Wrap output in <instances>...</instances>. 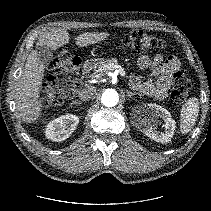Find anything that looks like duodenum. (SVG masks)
Masks as SVG:
<instances>
[{
  "label": "duodenum",
  "mask_w": 211,
  "mask_h": 211,
  "mask_svg": "<svg viewBox=\"0 0 211 211\" xmlns=\"http://www.w3.org/2000/svg\"><path fill=\"white\" fill-rule=\"evenodd\" d=\"M95 66V61L93 59H90L83 64L80 65L79 69L75 70V76H73L71 80V91H74L76 89V83L79 79H81L85 74L89 73Z\"/></svg>",
  "instance_id": "obj_1"
}]
</instances>
